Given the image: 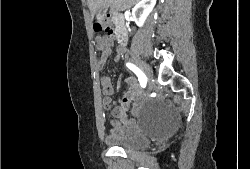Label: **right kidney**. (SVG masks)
I'll return each instance as SVG.
<instances>
[{"mask_svg":"<svg viewBox=\"0 0 250 169\" xmlns=\"http://www.w3.org/2000/svg\"><path fill=\"white\" fill-rule=\"evenodd\" d=\"M156 4V0H140L138 4H135L132 8V16L137 26H143L148 14L153 10Z\"/></svg>","mask_w":250,"mask_h":169,"instance_id":"right-kidney-1","label":"right kidney"}]
</instances>
